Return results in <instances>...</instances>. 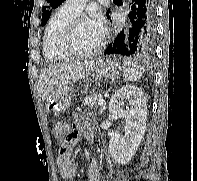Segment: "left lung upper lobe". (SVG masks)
<instances>
[{
    "label": "left lung upper lobe",
    "instance_id": "left-lung-upper-lobe-1",
    "mask_svg": "<svg viewBox=\"0 0 197 181\" xmlns=\"http://www.w3.org/2000/svg\"><path fill=\"white\" fill-rule=\"evenodd\" d=\"M65 0H47L48 6L43 7V15H42V26L45 25L50 18L51 11L54 8H57L59 5H61ZM110 9H108L106 16L109 19Z\"/></svg>",
    "mask_w": 197,
    "mask_h": 181
}]
</instances>
